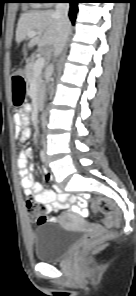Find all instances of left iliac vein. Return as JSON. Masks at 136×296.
<instances>
[{
  "instance_id": "left-iliac-vein-1",
  "label": "left iliac vein",
  "mask_w": 136,
  "mask_h": 296,
  "mask_svg": "<svg viewBox=\"0 0 136 296\" xmlns=\"http://www.w3.org/2000/svg\"><path fill=\"white\" fill-rule=\"evenodd\" d=\"M46 165H48V159H47V157H46Z\"/></svg>"
}]
</instances>
